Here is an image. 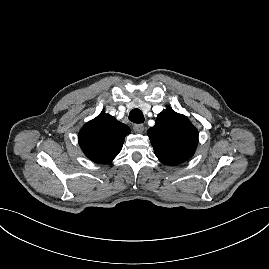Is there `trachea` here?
I'll use <instances>...</instances> for the list:
<instances>
[{"mask_svg":"<svg viewBox=\"0 0 269 269\" xmlns=\"http://www.w3.org/2000/svg\"><path fill=\"white\" fill-rule=\"evenodd\" d=\"M129 120L133 123L140 124L144 122V115L140 109L135 108L131 110L129 114Z\"/></svg>","mask_w":269,"mask_h":269,"instance_id":"1","label":"trachea"}]
</instances>
